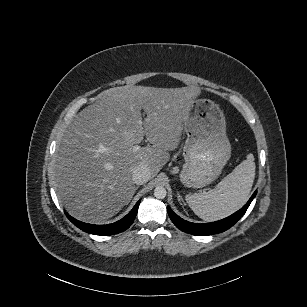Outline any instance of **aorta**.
Wrapping results in <instances>:
<instances>
[{
  "mask_svg": "<svg viewBox=\"0 0 307 307\" xmlns=\"http://www.w3.org/2000/svg\"><path fill=\"white\" fill-rule=\"evenodd\" d=\"M167 191L163 186H157L154 189V196L157 199H164L166 197Z\"/></svg>",
  "mask_w": 307,
  "mask_h": 307,
  "instance_id": "1",
  "label": "aorta"
}]
</instances>
